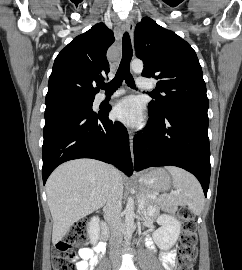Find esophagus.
<instances>
[{
    "instance_id": "34e87169",
    "label": "esophagus",
    "mask_w": 242,
    "mask_h": 270,
    "mask_svg": "<svg viewBox=\"0 0 242 270\" xmlns=\"http://www.w3.org/2000/svg\"><path fill=\"white\" fill-rule=\"evenodd\" d=\"M125 30L129 33L131 39L133 37V32H134V23L132 18H128L126 21V24L124 25ZM129 141H130V150H131V157L132 160L134 161V156H133V131L129 130Z\"/></svg>"
}]
</instances>
